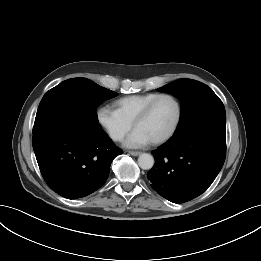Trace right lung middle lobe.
Listing matches in <instances>:
<instances>
[{
	"instance_id": "dd1d6c3e",
	"label": "right lung middle lobe",
	"mask_w": 261,
	"mask_h": 261,
	"mask_svg": "<svg viewBox=\"0 0 261 261\" xmlns=\"http://www.w3.org/2000/svg\"><path fill=\"white\" fill-rule=\"evenodd\" d=\"M115 96L116 92L86 78L63 81L43 96L33 132L55 124L101 129L97 119V107Z\"/></svg>"
}]
</instances>
